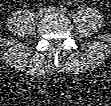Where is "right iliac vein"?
<instances>
[{
  "instance_id": "obj_1",
  "label": "right iliac vein",
  "mask_w": 111,
  "mask_h": 106,
  "mask_svg": "<svg viewBox=\"0 0 111 106\" xmlns=\"http://www.w3.org/2000/svg\"><path fill=\"white\" fill-rule=\"evenodd\" d=\"M48 13V9H46V8H43V9H40L39 10V15H45V14H47Z\"/></svg>"
}]
</instances>
